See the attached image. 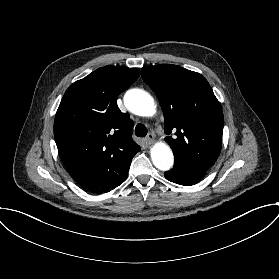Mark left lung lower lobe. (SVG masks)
I'll use <instances>...</instances> for the list:
<instances>
[{"label":"left lung lower lobe","mask_w":279,"mask_h":279,"mask_svg":"<svg viewBox=\"0 0 279 279\" xmlns=\"http://www.w3.org/2000/svg\"><path fill=\"white\" fill-rule=\"evenodd\" d=\"M165 178L171 182L190 186L198 183L206 175V172H198L180 165H174V168L165 172Z\"/></svg>","instance_id":"left-lung-lower-lobe-1"}]
</instances>
